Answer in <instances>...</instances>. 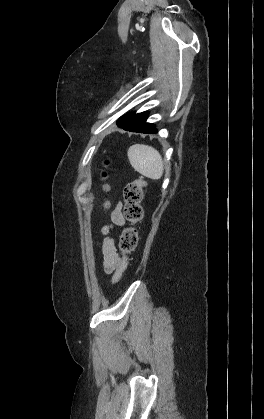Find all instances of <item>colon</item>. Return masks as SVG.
Instances as JSON below:
<instances>
[{
    "mask_svg": "<svg viewBox=\"0 0 264 419\" xmlns=\"http://www.w3.org/2000/svg\"><path fill=\"white\" fill-rule=\"evenodd\" d=\"M144 187L145 181L136 179L130 182L124 189V216L130 225L120 235L119 247L123 256L113 276L114 284H117L122 279L128 266V256L135 250L138 243V230L136 225L143 218L141 202Z\"/></svg>",
    "mask_w": 264,
    "mask_h": 419,
    "instance_id": "obj_1",
    "label": "colon"
}]
</instances>
